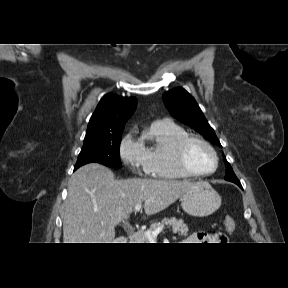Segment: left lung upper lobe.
<instances>
[{
  "label": "left lung upper lobe",
  "mask_w": 288,
  "mask_h": 288,
  "mask_svg": "<svg viewBox=\"0 0 288 288\" xmlns=\"http://www.w3.org/2000/svg\"><path fill=\"white\" fill-rule=\"evenodd\" d=\"M163 101L174 118L189 125L202 134L208 141L222 147L195 99L185 89L179 87L167 91L163 94ZM224 162L227 167L225 180L231 182L239 181L225 157Z\"/></svg>",
  "instance_id": "obj_1"
}]
</instances>
